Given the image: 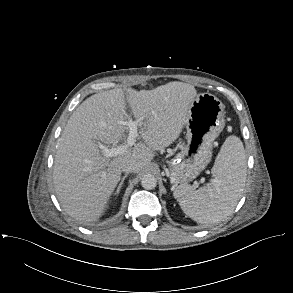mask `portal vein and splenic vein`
Returning a JSON list of instances; mask_svg holds the SVG:
<instances>
[{
    "label": "portal vein and splenic vein",
    "mask_w": 293,
    "mask_h": 293,
    "mask_svg": "<svg viewBox=\"0 0 293 293\" xmlns=\"http://www.w3.org/2000/svg\"><path fill=\"white\" fill-rule=\"evenodd\" d=\"M144 117H141L135 121L129 120L121 122L123 125H126L129 129V134L127 137V142L124 145H120L111 149H108L106 147H102V154L105 157H115L119 154H122L125 152V150L135 144L136 138L138 136L137 129L138 127L142 126V120Z\"/></svg>",
    "instance_id": "1"
}]
</instances>
